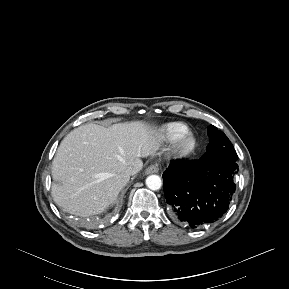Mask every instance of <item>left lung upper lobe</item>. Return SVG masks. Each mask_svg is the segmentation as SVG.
<instances>
[{
	"instance_id": "1",
	"label": "left lung upper lobe",
	"mask_w": 289,
	"mask_h": 289,
	"mask_svg": "<svg viewBox=\"0 0 289 289\" xmlns=\"http://www.w3.org/2000/svg\"><path fill=\"white\" fill-rule=\"evenodd\" d=\"M209 144L207 152L202 156L215 163H230L237 161V154L226 135L213 125L208 127Z\"/></svg>"
}]
</instances>
